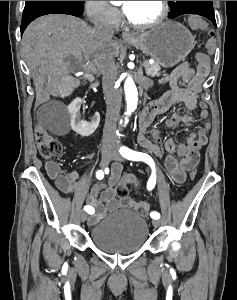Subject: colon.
I'll list each match as a JSON object with an SVG mask.
<instances>
[{"label":"colon","mask_w":237,"mask_h":300,"mask_svg":"<svg viewBox=\"0 0 237 300\" xmlns=\"http://www.w3.org/2000/svg\"><path fill=\"white\" fill-rule=\"evenodd\" d=\"M189 25L194 29L206 30L207 26L203 19L197 15H190L188 18ZM209 39L207 42V47L210 53H213L216 49V41L214 35L211 31H208ZM198 64L207 67L210 65V58L206 54H198L196 56ZM36 144L39 154L44 158L57 157L62 153L61 143L55 139L49 131L42 125H39L36 129ZM196 170L191 169L190 178L194 179L196 177ZM137 180L135 177L126 175L120 181L116 187V196L123 199L129 194V185L136 184Z\"/></svg>","instance_id":"5ec220e1"}]
</instances>
